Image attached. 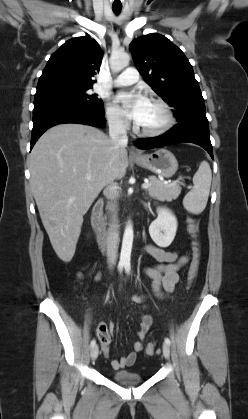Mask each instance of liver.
<instances>
[{
  "label": "liver",
  "instance_id": "6515ba94",
  "mask_svg": "<svg viewBox=\"0 0 248 419\" xmlns=\"http://www.w3.org/2000/svg\"><path fill=\"white\" fill-rule=\"evenodd\" d=\"M127 167V150L114 149L108 136L91 126L60 124L36 142L30 154L31 191L62 261L74 256L84 214L106 185L125 176Z\"/></svg>",
  "mask_w": 248,
  "mask_h": 419
}]
</instances>
